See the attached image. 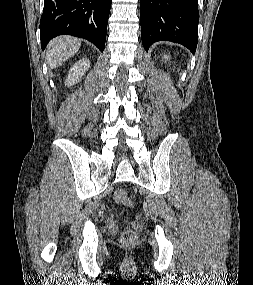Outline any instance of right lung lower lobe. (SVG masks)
Here are the masks:
<instances>
[{
    "label": "right lung lower lobe",
    "instance_id": "obj_1",
    "mask_svg": "<svg viewBox=\"0 0 253 285\" xmlns=\"http://www.w3.org/2000/svg\"><path fill=\"white\" fill-rule=\"evenodd\" d=\"M111 0H44L40 20L41 48L58 35L87 39L103 52Z\"/></svg>",
    "mask_w": 253,
    "mask_h": 285
}]
</instances>
